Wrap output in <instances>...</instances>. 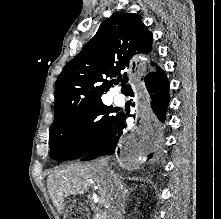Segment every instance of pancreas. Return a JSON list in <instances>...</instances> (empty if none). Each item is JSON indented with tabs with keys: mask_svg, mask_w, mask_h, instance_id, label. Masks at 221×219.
<instances>
[{
	"mask_svg": "<svg viewBox=\"0 0 221 219\" xmlns=\"http://www.w3.org/2000/svg\"><path fill=\"white\" fill-rule=\"evenodd\" d=\"M103 217V216H102ZM95 219H103V218H101L100 216L99 217H96Z\"/></svg>",
	"mask_w": 221,
	"mask_h": 219,
	"instance_id": "1",
	"label": "pancreas"
}]
</instances>
